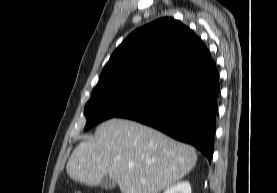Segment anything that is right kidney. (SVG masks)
<instances>
[{"mask_svg":"<svg viewBox=\"0 0 277 193\" xmlns=\"http://www.w3.org/2000/svg\"><path fill=\"white\" fill-rule=\"evenodd\" d=\"M163 193H191V186L188 181H182L168 188Z\"/></svg>","mask_w":277,"mask_h":193,"instance_id":"right-kidney-1","label":"right kidney"}]
</instances>
